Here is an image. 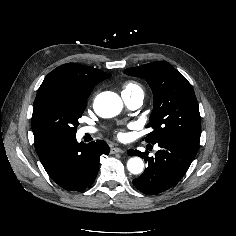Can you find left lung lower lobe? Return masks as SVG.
<instances>
[{"mask_svg":"<svg viewBox=\"0 0 236 236\" xmlns=\"http://www.w3.org/2000/svg\"><path fill=\"white\" fill-rule=\"evenodd\" d=\"M161 148L155 156L137 150H129L148 162L144 173L133 180L138 190L145 194L157 195L175 186L187 172L194 160L199 145L180 141L166 140L157 142Z\"/></svg>","mask_w":236,"mask_h":236,"instance_id":"0a47b994","label":"left lung lower lobe"}]
</instances>
